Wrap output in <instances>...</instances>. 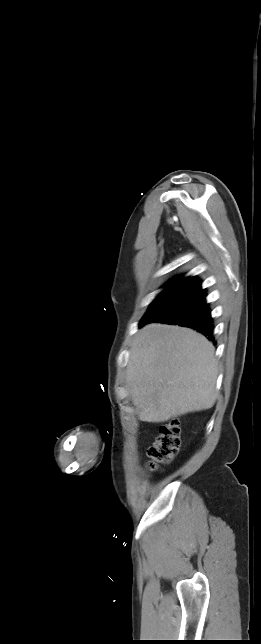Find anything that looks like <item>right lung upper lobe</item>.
<instances>
[{"mask_svg": "<svg viewBox=\"0 0 261 644\" xmlns=\"http://www.w3.org/2000/svg\"><path fill=\"white\" fill-rule=\"evenodd\" d=\"M181 277L182 276H178L171 281H183V282L201 284L200 280H198L196 277H189V278H181Z\"/></svg>", "mask_w": 261, "mask_h": 644, "instance_id": "cb5924a9", "label": "right lung upper lobe"}]
</instances>
